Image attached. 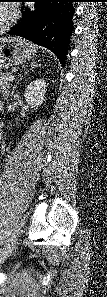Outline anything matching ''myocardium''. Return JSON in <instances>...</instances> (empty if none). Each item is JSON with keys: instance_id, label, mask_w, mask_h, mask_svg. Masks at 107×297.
<instances>
[{"instance_id": "myocardium-1", "label": "myocardium", "mask_w": 107, "mask_h": 297, "mask_svg": "<svg viewBox=\"0 0 107 297\" xmlns=\"http://www.w3.org/2000/svg\"><path fill=\"white\" fill-rule=\"evenodd\" d=\"M0 32L3 33L14 18V9L11 6L0 7Z\"/></svg>"}]
</instances>
